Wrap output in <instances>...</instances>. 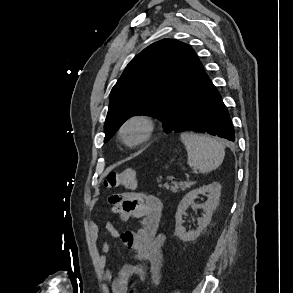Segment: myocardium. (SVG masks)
<instances>
[{"instance_id":"myocardium-1","label":"myocardium","mask_w":293,"mask_h":293,"mask_svg":"<svg viewBox=\"0 0 293 293\" xmlns=\"http://www.w3.org/2000/svg\"><path fill=\"white\" fill-rule=\"evenodd\" d=\"M132 124L141 125L143 127V133L139 139L133 142H130L125 138V131L127 127H129ZM154 131H155V123L152 118L145 115H134L126 119L122 123L119 134L121 139L126 145H128L129 147H136L147 142L152 137Z\"/></svg>"}]
</instances>
